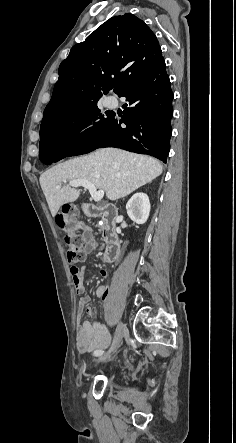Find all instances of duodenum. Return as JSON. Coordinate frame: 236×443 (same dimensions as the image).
I'll return each instance as SVG.
<instances>
[{
    "label": "duodenum",
    "mask_w": 236,
    "mask_h": 443,
    "mask_svg": "<svg viewBox=\"0 0 236 443\" xmlns=\"http://www.w3.org/2000/svg\"><path fill=\"white\" fill-rule=\"evenodd\" d=\"M83 211L86 217L101 218L103 220V239L107 245L104 260L108 263L114 262L118 258L120 249V238L116 223L119 209L113 205L96 206L90 202H85L83 204Z\"/></svg>",
    "instance_id": "410a0bca"
}]
</instances>
